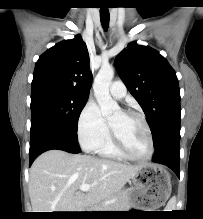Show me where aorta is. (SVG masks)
I'll list each match as a JSON object with an SVG mask.
<instances>
[{
    "mask_svg": "<svg viewBox=\"0 0 203 219\" xmlns=\"http://www.w3.org/2000/svg\"><path fill=\"white\" fill-rule=\"evenodd\" d=\"M114 77V69L110 65H102L94 80V95L104 117H110L120 111V107L109 93V87Z\"/></svg>",
    "mask_w": 203,
    "mask_h": 219,
    "instance_id": "762f6f07",
    "label": "aorta"
}]
</instances>
